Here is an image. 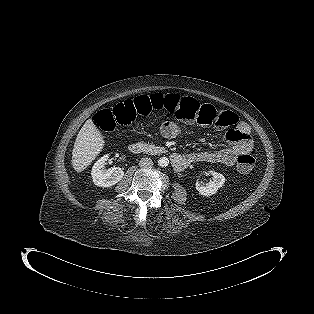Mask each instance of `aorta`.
Here are the masks:
<instances>
[{"mask_svg":"<svg viewBox=\"0 0 314 314\" xmlns=\"http://www.w3.org/2000/svg\"><path fill=\"white\" fill-rule=\"evenodd\" d=\"M158 164L159 166L161 167H166L169 165V159L167 157H161L159 160H158Z\"/></svg>","mask_w":314,"mask_h":314,"instance_id":"aorta-1","label":"aorta"}]
</instances>
